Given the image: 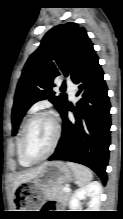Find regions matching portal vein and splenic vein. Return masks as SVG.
I'll list each match as a JSON object with an SVG mask.
<instances>
[{"mask_svg":"<svg viewBox=\"0 0 123 219\" xmlns=\"http://www.w3.org/2000/svg\"><path fill=\"white\" fill-rule=\"evenodd\" d=\"M63 190H64V192H66V193H69V192L71 191L69 187H64Z\"/></svg>","mask_w":123,"mask_h":219,"instance_id":"obj_1","label":"portal vein and splenic vein"}]
</instances>
